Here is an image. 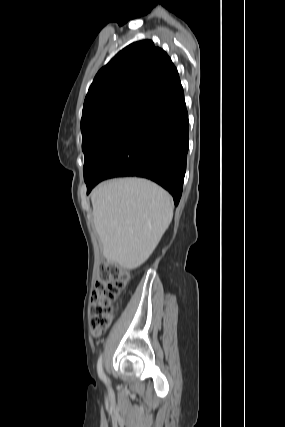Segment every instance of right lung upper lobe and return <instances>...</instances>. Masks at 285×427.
Masks as SVG:
<instances>
[{
  "label": "right lung upper lobe",
  "mask_w": 285,
  "mask_h": 427,
  "mask_svg": "<svg viewBox=\"0 0 285 427\" xmlns=\"http://www.w3.org/2000/svg\"><path fill=\"white\" fill-rule=\"evenodd\" d=\"M179 81L164 50L151 40L132 43L96 74L84 101L81 127L125 107L145 108Z\"/></svg>",
  "instance_id": "obj_1"
}]
</instances>
